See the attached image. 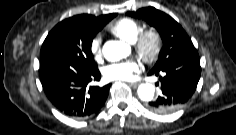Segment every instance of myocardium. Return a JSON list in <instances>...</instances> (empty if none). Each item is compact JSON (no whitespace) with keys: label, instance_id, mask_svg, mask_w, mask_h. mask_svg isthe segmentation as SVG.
<instances>
[{"label":"myocardium","instance_id":"1","mask_svg":"<svg viewBox=\"0 0 236 135\" xmlns=\"http://www.w3.org/2000/svg\"><path fill=\"white\" fill-rule=\"evenodd\" d=\"M136 53L148 63L156 61L162 50V38L155 28L141 30L133 42Z\"/></svg>","mask_w":236,"mask_h":135}]
</instances>
